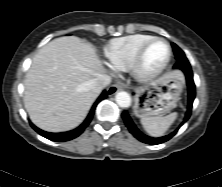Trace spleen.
<instances>
[{"instance_id":"spleen-1","label":"spleen","mask_w":222,"mask_h":187,"mask_svg":"<svg viewBox=\"0 0 222 187\" xmlns=\"http://www.w3.org/2000/svg\"><path fill=\"white\" fill-rule=\"evenodd\" d=\"M176 118V112L166 116H148L141 119V124L148 134L159 137L164 135Z\"/></svg>"}]
</instances>
